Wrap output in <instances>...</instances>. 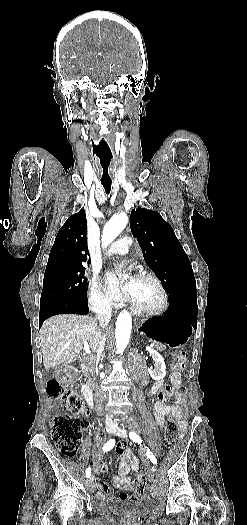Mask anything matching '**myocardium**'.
Instances as JSON below:
<instances>
[{
	"label": "myocardium",
	"instance_id": "obj_1",
	"mask_svg": "<svg viewBox=\"0 0 247 525\" xmlns=\"http://www.w3.org/2000/svg\"><path fill=\"white\" fill-rule=\"evenodd\" d=\"M133 266L134 267L137 266L134 261H133ZM140 277L150 278L151 280L154 281V283L156 284V286L159 288V290L162 293V300H161V302L158 305H155V306L146 305V304H144L142 302H139V301H136V300H134L133 303L135 305H137L144 314L153 315V314L161 313L166 308V306L168 304V294H167V291H166L165 287L163 286L161 280L157 277V275L155 273H153L151 271H146V270H142L140 272Z\"/></svg>",
	"mask_w": 247,
	"mask_h": 525
}]
</instances>
